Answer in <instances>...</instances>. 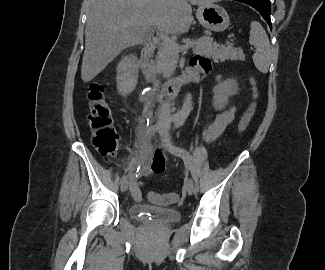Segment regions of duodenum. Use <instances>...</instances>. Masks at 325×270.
<instances>
[{
    "label": "duodenum",
    "mask_w": 325,
    "mask_h": 270,
    "mask_svg": "<svg viewBox=\"0 0 325 270\" xmlns=\"http://www.w3.org/2000/svg\"><path fill=\"white\" fill-rule=\"evenodd\" d=\"M154 51L155 44L153 42L148 43L142 50L141 58L138 62V67L140 68V72L142 73L146 86L153 90L154 96L157 98V100L162 103H167L176 97L181 87L188 83L191 78L188 75L184 74L169 81L162 87L157 86L151 65ZM144 100L147 101L148 99L145 98Z\"/></svg>",
    "instance_id": "410a0bca"
}]
</instances>
